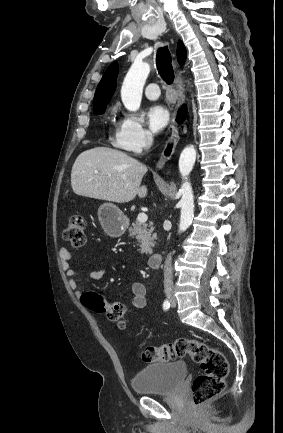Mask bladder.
<instances>
[{
    "label": "bladder",
    "mask_w": 283,
    "mask_h": 433,
    "mask_svg": "<svg viewBox=\"0 0 283 433\" xmlns=\"http://www.w3.org/2000/svg\"><path fill=\"white\" fill-rule=\"evenodd\" d=\"M185 375V362L157 363L135 374L131 387L135 393L174 392Z\"/></svg>",
    "instance_id": "1"
}]
</instances>
